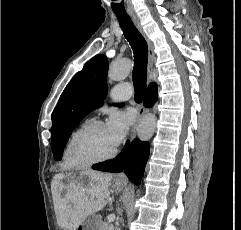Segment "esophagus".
<instances>
[{
  "label": "esophagus",
  "mask_w": 241,
  "mask_h": 230,
  "mask_svg": "<svg viewBox=\"0 0 241 230\" xmlns=\"http://www.w3.org/2000/svg\"><path fill=\"white\" fill-rule=\"evenodd\" d=\"M130 17H131L134 25L139 30V32L144 36V38L146 39V42L148 44V71L151 72L152 68H153L154 60H155V56H154V52H153V45L150 42V40L145 36L138 17L133 13L130 14ZM146 112H147V109L141 104L138 108L137 122L133 126L131 134H130L131 139L134 138V136L136 134L137 127H138V123L142 119V117L146 114Z\"/></svg>",
  "instance_id": "obj_1"
}]
</instances>
